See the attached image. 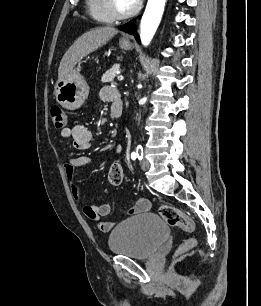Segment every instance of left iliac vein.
<instances>
[{"label": "left iliac vein", "instance_id": "1", "mask_svg": "<svg viewBox=\"0 0 261 306\" xmlns=\"http://www.w3.org/2000/svg\"><path fill=\"white\" fill-rule=\"evenodd\" d=\"M140 166H141L142 170L147 171L150 167V163L147 159H142L140 161Z\"/></svg>", "mask_w": 261, "mask_h": 306}]
</instances>
